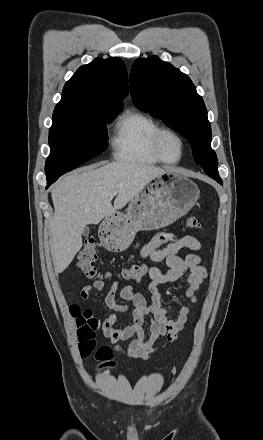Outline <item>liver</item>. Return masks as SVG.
Segmentation results:
<instances>
[{"instance_id":"obj_1","label":"liver","mask_w":263,"mask_h":440,"mask_svg":"<svg viewBox=\"0 0 263 440\" xmlns=\"http://www.w3.org/2000/svg\"><path fill=\"white\" fill-rule=\"evenodd\" d=\"M92 165L63 178L52 189L54 215L50 249L54 269L62 273L82 247L81 234L122 209L152 180L167 170L136 162ZM117 192L112 205L110 193Z\"/></svg>"}]
</instances>
